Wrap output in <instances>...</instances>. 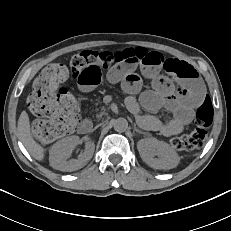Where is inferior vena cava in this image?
<instances>
[{
  "label": "inferior vena cava",
  "mask_w": 231,
  "mask_h": 231,
  "mask_svg": "<svg viewBox=\"0 0 231 231\" xmlns=\"http://www.w3.org/2000/svg\"><path fill=\"white\" fill-rule=\"evenodd\" d=\"M103 127H104V124H103V123H100V124H96V125H95V128H96V129L103 128Z\"/></svg>",
  "instance_id": "obj_1"
}]
</instances>
